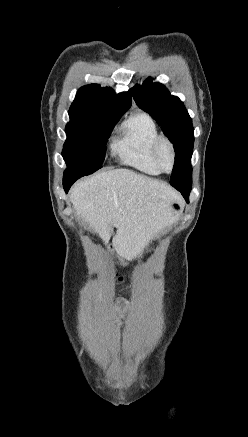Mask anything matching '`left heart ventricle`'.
<instances>
[{
    "label": "left heart ventricle",
    "instance_id": "obj_1",
    "mask_svg": "<svg viewBox=\"0 0 248 437\" xmlns=\"http://www.w3.org/2000/svg\"><path fill=\"white\" fill-rule=\"evenodd\" d=\"M162 164L165 168H169L171 165V155L167 148H164L161 154Z\"/></svg>",
    "mask_w": 248,
    "mask_h": 437
}]
</instances>
